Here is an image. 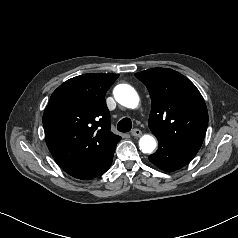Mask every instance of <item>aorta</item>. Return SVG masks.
Masks as SVG:
<instances>
[{"mask_svg":"<svg viewBox=\"0 0 238 238\" xmlns=\"http://www.w3.org/2000/svg\"><path fill=\"white\" fill-rule=\"evenodd\" d=\"M115 100L124 107L135 109L139 104V96L136 90L128 84H119L114 88ZM157 146L152 135H143L139 140V148L143 153L151 154Z\"/></svg>","mask_w":238,"mask_h":238,"instance_id":"1","label":"aorta"}]
</instances>
